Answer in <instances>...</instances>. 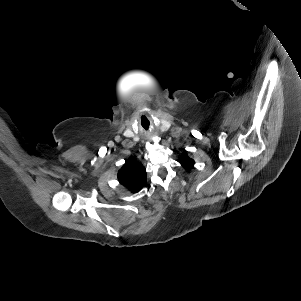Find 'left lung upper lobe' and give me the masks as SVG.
<instances>
[{
    "mask_svg": "<svg viewBox=\"0 0 301 301\" xmlns=\"http://www.w3.org/2000/svg\"><path fill=\"white\" fill-rule=\"evenodd\" d=\"M180 163L182 165L183 168H185L186 170H190L193 165H194V160L187 157L186 155L182 156Z\"/></svg>",
    "mask_w": 301,
    "mask_h": 301,
    "instance_id": "left-lung-upper-lobe-1",
    "label": "left lung upper lobe"
}]
</instances>
